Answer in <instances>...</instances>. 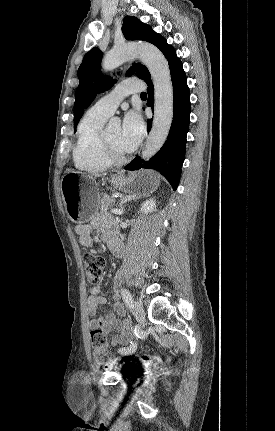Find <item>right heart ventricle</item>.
Masks as SVG:
<instances>
[{
	"instance_id": "e07e8e85",
	"label": "right heart ventricle",
	"mask_w": 275,
	"mask_h": 431,
	"mask_svg": "<svg viewBox=\"0 0 275 431\" xmlns=\"http://www.w3.org/2000/svg\"><path fill=\"white\" fill-rule=\"evenodd\" d=\"M108 117L91 108L80 120L73 150V161L79 170L98 173L111 166L103 154L101 142L103 127Z\"/></svg>"
}]
</instances>
